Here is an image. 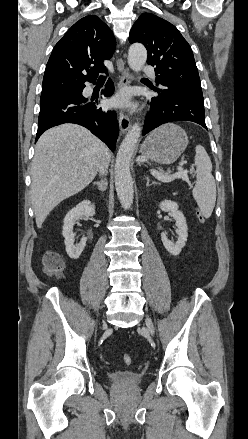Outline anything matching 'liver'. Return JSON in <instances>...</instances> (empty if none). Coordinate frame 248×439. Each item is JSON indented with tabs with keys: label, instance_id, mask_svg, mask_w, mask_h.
I'll return each mask as SVG.
<instances>
[{
	"label": "liver",
	"instance_id": "obj_1",
	"mask_svg": "<svg viewBox=\"0 0 248 439\" xmlns=\"http://www.w3.org/2000/svg\"><path fill=\"white\" fill-rule=\"evenodd\" d=\"M108 155L106 145L82 126L63 124L43 133L31 164L30 198L38 228L60 202L93 181Z\"/></svg>",
	"mask_w": 248,
	"mask_h": 439
}]
</instances>
